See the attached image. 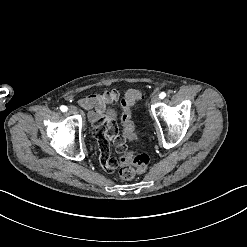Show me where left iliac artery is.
I'll use <instances>...</instances> for the list:
<instances>
[{
    "label": "left iliac artery",
    "instance_id": "44dca946",
    "mask_svg": "<svg viewBox=\"0 0 247 247\" xmlns=\"http://www.w3.org/2000/svg\"><path fill=\"white\" fill-rule=\"evenodd\" d=\"M165 96H166V93H165V92H161V93L159 94V98H160V99L165 98Z\"/></svg>",
    "mask_w": 247,
    "mask_h": 247
}]
</instances>
